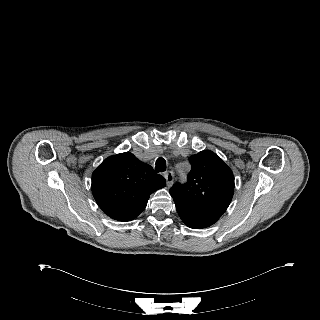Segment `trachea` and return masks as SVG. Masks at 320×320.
<instances>
[{"label": "trachea", "instance_id": "obj_1", "mask_svg": "<svg viewBox=\"0 0 320 320\" xmlns=\"http://www.w3.org/2000/svg\"><path fill=\"white\" fill-rule=\"evenodd\" d=\"M155 170H156L157 172H164V171H166V161H165L164 158L159 157V158L156 160Z\"/></svg>", "mask_w": 320, "mask_h": 320}]
</instances>
